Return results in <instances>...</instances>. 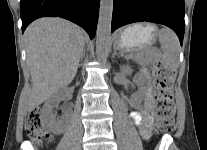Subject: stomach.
Instances as JSON below:
<instances>
[{"label":"stomach","instance_id":"0dacf381","mask_svg":"<svg viewBox=\"0 0 207 150\" xmlns=\"http://www.w3.org/2000/svg\"><path fill=\"white\" fill-rule=\"evenodd\" d=\"M156 33V26L150 23L131 25L116 35L115 48L121 52L146 51Z\"/></svg>","mask_w":207,"mask_h":150}]
</instances>
